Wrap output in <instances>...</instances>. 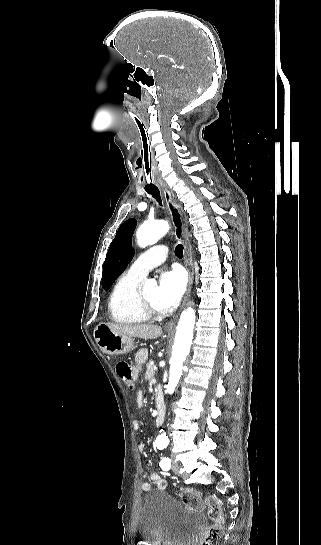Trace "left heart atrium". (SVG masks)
I'll return each mask as SVG.
<instances>
[{
  "mask_svg": "<svg viewBox=\"0 0 321 545\" xmlns=\"http://www.w3.org/2000/svg\"><path fill=\"white\" fill-rule=\"evenodd\" d=\"M185 288L186 278L181 269L174 268L162 272L156 293L157 308L165 313L173 310L183 296Z\"/></svg>",
  "mask_w": 321,
  "mask_h": 545,
  "instance_id": "39dd6f15",
  "label": "left heart atrium"
}]
</instances>
